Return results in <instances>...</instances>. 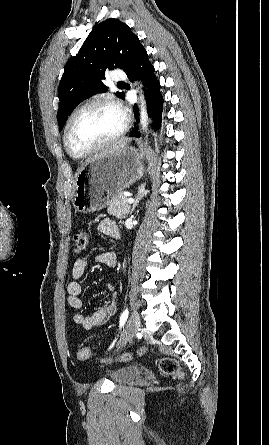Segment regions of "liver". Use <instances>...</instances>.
I'll use <instances>...</instances> for the list:
<instances>
[{
    "label": "liver",
    "instance_id": "1",
    "mask_svg": "<svg viewBox=\"0 0 269 445\" xmlns=\"http://www.w3.org/2000/svg\"><path fill=\"white\" fill-rule=\"evenodd\" d=\"M130 142V139L124 138L122 140H119L115 144L109 146L106 150H104L100 155H106V154H113L116 152L121 151L123 148L126 147L127 143ZM99 156V155H98Z\"/></svg>",
    "mask_w": 269,
    "mask_h": 445
}]
</instances>
